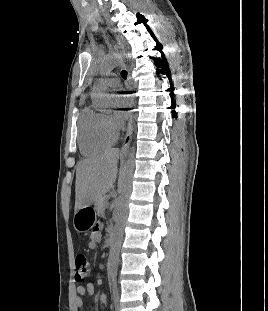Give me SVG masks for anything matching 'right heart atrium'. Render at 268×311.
<instances>
[{"instance_id":"obj_1","label":"right heart atrium","mask_w":268,"mask_h":311,"mask_svg":"<svg viewBox=\"0 0 268 311\" xmlns=\"http://www.w3.org/2000/svg\"><path fill=\"white\" fill-rule=\"evenodd\" d=\"M110 125L116 130L117 128V122L113 118H108Z\"/></svg>"}]
</instances>
